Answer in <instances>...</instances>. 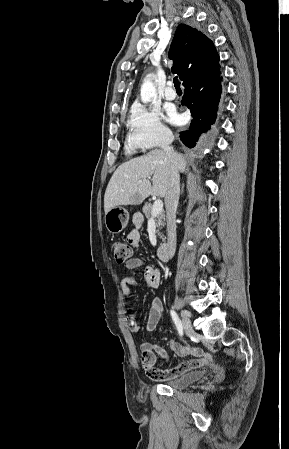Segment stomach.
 <instances>
[{
  "mask_svg": "<svg viewBox=\"0 0 289 449\" xmlns=\"http://www.w3.org/2000/svg\"><path fill=\"white\" fill-rule=\"evenodd\" d=\"M129 213L122 206H116L110 209L104 217L107 230L112 234L121 232L128 224Z\"/></svg>",
  "mask_w": 289,
  "mask_h": 449,
  "instance_id": "obj_1",
  "label": "stomach"
}]
</instances>
